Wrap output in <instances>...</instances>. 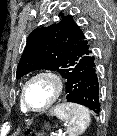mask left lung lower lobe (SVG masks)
<instances>
[{
    "instance_id": "1",
    "label": "left lung lower lobe",
    "mask_w": 117,
    "mask_h": 136,
    "mask_svg": "<svg viewBox=\"0 0 117 136\" xmlns=\"http://www.w3.org/2000/svg\"><path fill=\"white\" fill-rule=\"evenodd\" d=\"M93 52L82 57L72 69L66 82V100L100 112L99 79Z\"/></svg>"
}]
</instances>
